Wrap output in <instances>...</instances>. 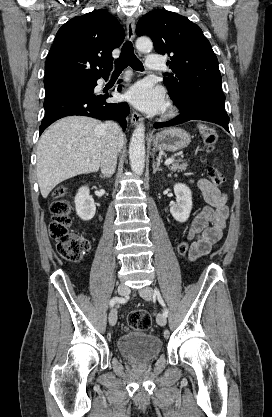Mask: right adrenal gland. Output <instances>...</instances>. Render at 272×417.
I'll list each match as a JSON object with an SVG mask.
<instances>
[{
    "label": "right adrenal gland",
    "mask_w": 272,
    "mask_h": 417,
    "mask_svg": "<svg viewBox=\"0 0 272 417\" xmlns=\"http://www.w3.org/2000/svg\"><path fill=\"white\" fill-rule=\"evenodd\" d=\"M100 177H101V178H105V176H104V175H100Z\"/></svg>",
    "instance_id": "right-adrenal-gland-1"
}]
</instances>
